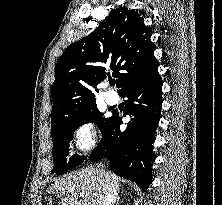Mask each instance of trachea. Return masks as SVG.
Instances as JSON below:
<instances>
[{
  "instance_id": "trachea-1",
  "label": "trachea",
  "mask_w": 222,
  "mask_h": 205,
  "mask_svg": "<svg viewBox=\"0 0 222 205\" xmlns=\"http://www.w3.org/2000/svg\"><path fill=\"white\" fill-rule=\"evenodd\" d=\"M115 83H116V82H112L111 84H112V85H115Z\"/></svg>"
}]
</instances>
